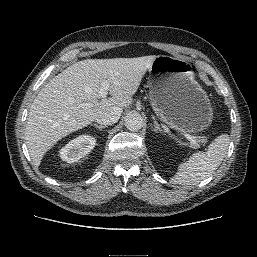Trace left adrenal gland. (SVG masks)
I'll list each match as a JSON object with an SVG mask.
<instances>
[{"instance_id":"left-adrenal-gland-1","label":"left adrenal gland","mask_w":257,"mask_h":257,"mask_svg":"<svg viewBox=\"0 0 257 257\" xmlns=\"http://www.w3.org/2000/svg\"><path fill=\"white\" fill-rule=\"evenodd\" d=\"M152 119L154 121V131L164 133V131L160 128V125L158 124L157 120L155 119V116L152 115Z\"/></svg>"}]
</instances>
